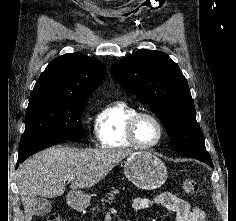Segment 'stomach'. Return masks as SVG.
Masks as SVG:
<instances>
[{
	"mask_svg": "<svg viewBox=\"0 0 236 221\" xmlns=\"http://www.w3.org/2000/svg\"><path fill=\"white\" fill-rule=\"evenodd\" d=\"M125 176L138 188L155 190L167 179V168L156 155L139 151L128 156L124 163ZM89 195L77 191L67 195V203L75 209H82L89 204Z\"/></svg>",
	"mask_w": 236,
	"mask_h": 221,
	"instance_id": "obj_1",
	"label": "stomach"
}]
</instances>
